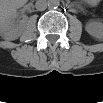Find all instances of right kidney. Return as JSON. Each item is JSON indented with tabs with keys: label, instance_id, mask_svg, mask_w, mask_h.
<instances>
[{
	"label": "right kidney",
	"instance_id": "ca27d5eb",
	"mask_svg": "<svg viewBox=\"0 0 103 103\" xmlns=\"http://www.w3.org/2000/svg\"><path fill=\"white\" fill-rule=\"evenodd\" d=\"M16 17V10L7 12L2 9L0 17V32L3 39L15 40L19 37L21 31L19 26L15 24Z\"/></svg>",
	"mask_w": 103,
	"mask_h": 103
}]
</instances>
